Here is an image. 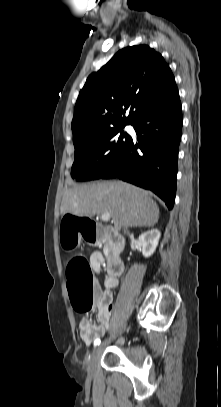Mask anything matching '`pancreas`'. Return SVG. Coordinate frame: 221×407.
<instances>
[{
	"label": "pancreas",
	"mask_w": 221,
	"mask_h": 407,
	"mask_svg": "<svg viewBox=\"0 0 221 407\" xmlns=\"http://www.w3.org/2000/svg\"><path fill=\"white\" fill-rule=\"evenodd\" d=\"M104 249H105L106 252H108L109 251V245L106 244Z\"/></svg>",
	"instance_id": "cf45deb5"
}]
</instances>
